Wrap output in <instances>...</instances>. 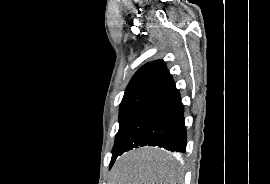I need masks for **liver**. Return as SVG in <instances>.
<instances>
[{
    "label": "liver",
    "instance_id": "1",
    "mask_svg": "<svg viewBox=\"0 0 270 184\" xmlns=\"http://www.w3.org/2000/svg\"><path fill=\"white\" fill-rule=\"evenodd\" d=\"M171 159L152 147L127 152L115 162L109 184H182V173L168 162Z\"/></svg>",
    "mask_w": 270,
    "mask_h": 184
}]
</instances>
